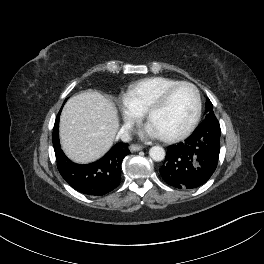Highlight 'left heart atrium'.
<instances>
[{"mask_svg": "<svg viewBox=\"0 0 264 264\" xmlns=\"http://www.w3.org/2000/svg\"><path fill=\"white\" fill-rule=\"evenodd\" d=\"M147 134L149 136H158L159 134L157 133V131L151 127L150 125L147 127Z\"/></svg>", "mask_w": 264, "mask_h": 264, "instance_id": "39dd6f15", "label": "left heart atrium"}]
</instances>
